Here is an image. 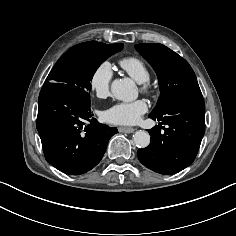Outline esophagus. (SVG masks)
Instances as JSON below:
<instances>
[{
	"label": "esophagus",
	"mask_w": 236,
	"mask_h": 236,
	"mask_svg": "<svg viewBox=\"0 0 236 236\" xmlns=\"http://www.w3.org/2000/svg\"><path fill=\"white\" fill-rule=\"evenodd\" d=\"M118 131L122 133H132L135 131V129L131 127H119Z\"/></svg>",
	"instance_id": "34e87169"
}]
</instances>
